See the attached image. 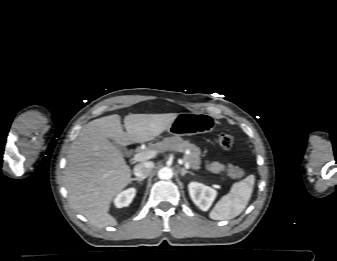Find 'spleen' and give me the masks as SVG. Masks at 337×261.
Wrapping results in <instances>:
<instances>
[{
    "label": "spleen",
    "instance_id": "1",
    "mask_svg": "<svg viewBox=\"0 0 337 261\" xmlns=\"http://www.w3.org/2000/svg\"><path fill=\"white\" fill-rule=\"evenodd\" d=\"M255 183L253 174L232 185L228 194L224 195L209 214L213 220H229L240 215L246 208Z\"/></svg>",
    "mask_w": 337,
    "mask_h": 261
}]
</instances>
